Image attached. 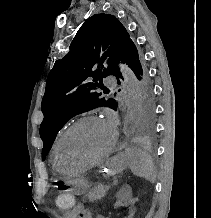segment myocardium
Segmentation results:
<instances>
[{
  "mask_svg": "<svg viewBox=\"0 0 211 218\" xmlns=\"http://www.w3.org/2000/svg\"><path fill=\"white\" fill-rule=\"evenodd\" d=\"M96 119H100L103 120L101 117L97 116V115H85L80 117L79 119H77L76 121H74L72 124H70L67 129L62 133L57 148H56V154H55V158L56 160L59 161V163H63V164H68L69 162L64 161L61 159V148L62 145L67 137V135L78 125H80L81 123L85 122V121H89V120H96ZM104 121V120H103ZM112 130V143L111 145L100 155H98L96 158H94L93 160L89 161V162H85V163H77V166L80 168H89L91 166H94L95 164L99 163L100 161H102L103 159L107 158L115 149L117 142H118V133L116 131V129L114 127H111Z\"/></svg>",
  "mask_w": 211,
  "mask_h": 218,
  "instance_id": "obj_1",
  "label": "myocardium"
}]
</instances>
